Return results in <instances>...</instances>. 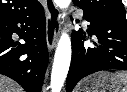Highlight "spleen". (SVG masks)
Instances as JSON below:
<instances>
[{"mask_svg": "<svg viewBox=\"0 0 127 92\" xmlns=\"http://www.w3.org/2000/svg\"><path fill=\"white\" fill-rule=\"evenodd\" d=\"M115 76L123 83L124 87L116 92H127V72H116Z\"/></svg>", "mask_w": 127, "mask_h": 92, "instance_id": "obj_1", "label": "spleen"}]
</instances>
